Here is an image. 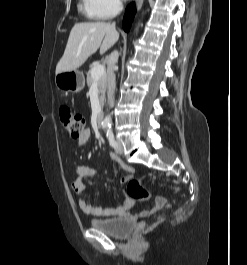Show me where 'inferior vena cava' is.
Listing matches in <instances>:
<instances>
[{
	"label": "inferior vena cava",
	"instance_id": "602c4592",
	"mask_svg": "<svg viewBox=\"0 0 247 265\" xmlns=\"http://www.w3.org/2000/svg\"><path fill=\"white\" fill-rule=\"evenodd\" d=\"M117 6L119 8H122V3L120 0H117ZM113 27H115V23L112 24ZM112 61L108 64V102L110 106H113L114 101V90H115V74H114V65L118 59V52L114 51L111 54Z\"/></svg>",
	"mask_w": 247,
	"mask_h": 265
}]
</instances>
